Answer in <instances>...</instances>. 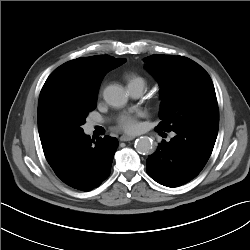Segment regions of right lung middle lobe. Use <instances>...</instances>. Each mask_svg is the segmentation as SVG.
Listing matches in <instances>:
<instances>
[{
    "label": "right lung middle lobe",
    "instance_id": "obj_1",
    "mask_svg": "<svg viewBox=\"0 0 250 250\" xmlns=\"http://www.w3.org/2000/svg\"><path fill=\"white\" fill-rule=\"evenodd\" d=\"M95 105L96 101L82 103L64 116L55 129L54 139L82 133L81 126L86 122L85 118L90 111L94 110Z\"/></svg>",
    "mask_w": 250,
    "mask_h": 250
}]
</instances>
